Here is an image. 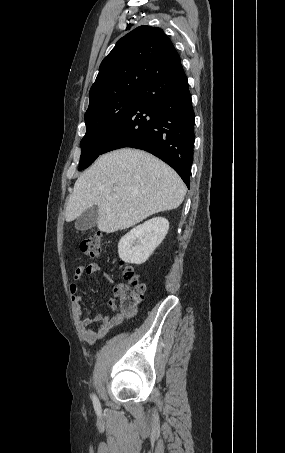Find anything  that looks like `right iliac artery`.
Returning <instances> with one entry per match:
<instances>
[{"instance_id": "1", "label": "right iliac artery", "mask_w": 285, "mask_h": 453, "mask_svg": "<svg viewBox=\"0 0 285 453\" xmlns=\"http://www.w3.org/2000/svg\"><path fill=\"white\" fill-rule=\"evenodd\" d=\"M92 401H93V405H94V408H95L96 412L99 413L100 412V403H99V400L96 397V395L92 396Z\"/></svg>"}]
</instances>
